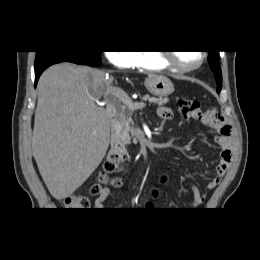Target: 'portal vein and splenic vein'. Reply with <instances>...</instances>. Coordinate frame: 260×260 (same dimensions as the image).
I'll return each instance as SVG.
<instances>
[{
  "label": "portal vein and splenic vein",
  "mask_w": 260,
  "mask_h": 260,
  "mask_svg": "<svg viewBox=\"0 0 260 260\" xmlns=\"http://www.w3.org/2000/svg\"><path fill=\"white\" fill-rule=\"evenodd\" d=\"M109 93L121 100L125 105L133 110L142 109L146 106V103L144 102H132L127 93L120 88H112Z\"/></svg>",
  "instance_id": "18ae733b"
}]
</instances>
